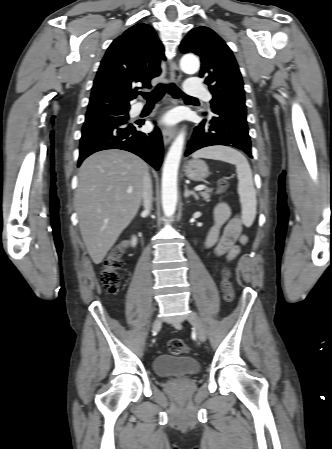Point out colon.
<instances>
[{
    "label": "colon",
    "instance_id": "1",
    "mask_svg": "<svg viewBox=\"0 0 332 449\" xmlns=\"http://www.w3.org/2000/svg\"><path fill=\"white\" fill-rule=\"evenodd\" d=\"M219 194H224L228 188V180L222 178L217 182ZM128 241L122 240L116 244L104 260L101 272V284L108 293H116L121 284L120 270L122 268V256L127 250ZM222 290L228 303L234 300V289L230 281V270L225 267L222 270ZM169 352L173 355H181L188 351V347L181 339H172L168 343Z\"/></svg>",
    "mask_w": 332,
    "mask_h": 449
}]
</instances>
